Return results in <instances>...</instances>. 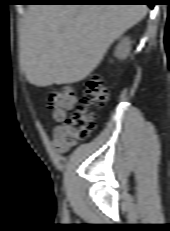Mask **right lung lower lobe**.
<instances>
[{"instance_id": "obj_1", "label": "right lung lower lobe", "mask_w": 170, "mask_h": 231, "mask_svg": "<svg viewBox=\"0 0 170 231\" xmlns=\"http://www.w3.org/2000/svg\"><path fill=\"white\" fill-rule=\"evenodd\" d=\"M34 3H66V4H129L145 3L153 8V0H29Z\"/></svg>"}]
</instances>
